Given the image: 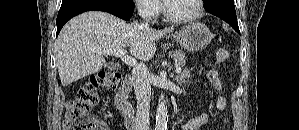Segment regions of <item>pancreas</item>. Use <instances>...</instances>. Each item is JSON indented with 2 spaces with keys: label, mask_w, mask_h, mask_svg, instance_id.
Returning <instances> with one entry per match:
<instances>
[{
  "label": "pancreas",
  "mask_w": 299,
  "mask_h": 130,
  "mask_svg": "<svg viewBox=\"0 0 299 130\" xmlns=\"http://www.w3.org/2000/svg\"><path fill=\"white\" fill-rule=\"evenodd\" d=\"M171 57H173L175 61V66L183 67L186 63L185 61V53L181 50H176L173 53H171Z\"/></svg>",
  "instance_id": "1"
}]
</instances>
